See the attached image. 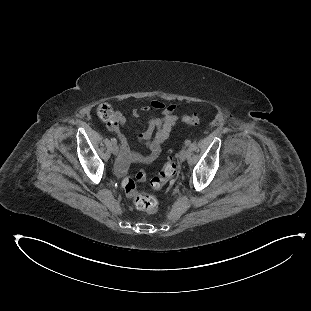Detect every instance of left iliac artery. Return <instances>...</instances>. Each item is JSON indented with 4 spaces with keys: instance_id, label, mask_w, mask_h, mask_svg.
Listing matches in <instances>:
<instances>
[{
    "instance_id": "left-iliac-artery-1",
    "label": "left iliac artery",
    "mask_w": 311,
    "mask_h": 311,
    "mask_svg": "<svg viewBox=\"0 0 311 311\" xmlns=\"http://www.w3.org/2000/svg\"><path fill=\"white\" fill-rule=\"evenodd\" d=\"M190 144H191V141H190V140H186V141H185V145H186V146H189Z\"/></svg>"
}]
</instances>
